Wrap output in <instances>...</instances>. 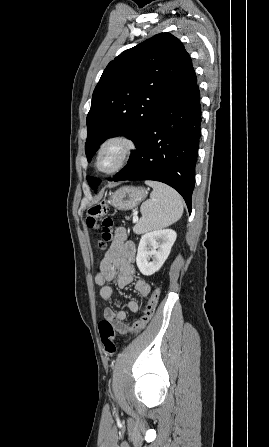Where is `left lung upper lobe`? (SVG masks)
Returning <instances> with one entry per match:
<instances>
[{
  "mask_svg": "<svg viewBox=\"0 0 269 447\" xmlns=\"http://www.w3.org/2000/svg\"><path fill=\"white\" fill-rule=\"evenodd\" d=\"M186 56L179 39L160 33L124 51L107 65L87 115L88 162L106 139L124 135L135 143L136 150L117 174L130 165L142 149ZM87 181L96 192L101 180L88 176Z\"/></svg>",
  "mask_w": 269,
  "mask_h": 447,
  "instance_id": "5c2ea615",
  "label": "left lung upper lobe"
}]
</instances>
